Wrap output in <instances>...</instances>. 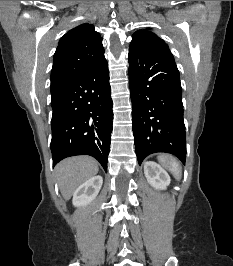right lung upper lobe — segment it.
I'll return each mask as SVG.
<instances>
[{"instance_id": "1", "label": "right lung upper lobe", "mask_w": 233, "mask_h": 266, "mask_svg": "<svg viewBox=\"0 0 233 266\" xmlns=\"http://www.w3.org/2000/svg\"><path fill=\"white\" fill-rule=\"evenodd\" d=\"M102 38L90 24L68 31L59 41L51 72V90L83 74L103 60Z\"/></svg>"}]
</instances>
